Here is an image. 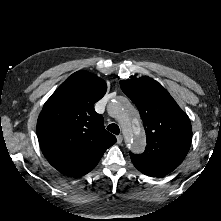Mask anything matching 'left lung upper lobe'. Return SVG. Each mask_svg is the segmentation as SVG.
<instances>
[{
	"label": "left lung upper lobe",
	"mask_w": 221,
	"mask_h": 221,
	"mask_svg": "<svg viewBox=\"0 0 221 221\" xmlns=\"http://www.w3.org/2000/svg\"><path fill=\"white\" fill-rule=\"evenodd\" d=\"M120 87L137 106L147 135L145 151L130 154L134 166L152 177L170 173L189 151L192 140L189 117L168 91L148 76L120 81Z\"/></svg>",
	"instance_id": "left-lung-upper-lobe-1"
}]
</instances>
